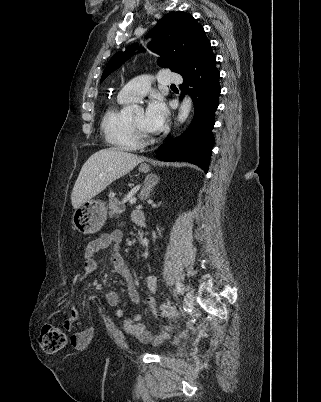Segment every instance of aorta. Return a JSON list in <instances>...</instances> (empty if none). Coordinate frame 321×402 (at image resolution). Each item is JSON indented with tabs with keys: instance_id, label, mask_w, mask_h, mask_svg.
Masks as SVG:
<instances>
[{
	"instance_id": "obj_1",
	"label": "aorta",
	"mask_w": 321,
	"mask_h": 402,
	"mask_svg": "<svg viewBox=\"0 0 321 402\" xmlns=\"http://www.w3.org/2000/svg\"><path fill=\"white\" fill-rule=\"evenodd\" d=\"M191 108H192V99H191V97L186 95L179 108V113H178V117H177V122H178L177 125L183 124L187 120V118L190 114ZM137 109H138V107L133 105V106L127 107L125 110L132 112Z\"/></svg>"
}]
</instances>
